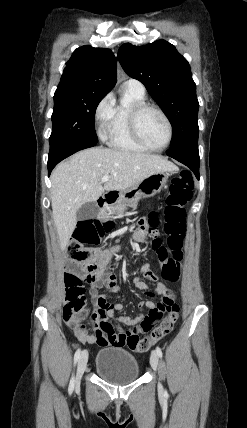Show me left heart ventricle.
<instances>
[{
  "label": "left heart ventricle",
  "instance_id": "1",
  "mask_svg": "<svg viewBox=\"0 0 247 428\" xmlns=\"http://www.w3.org/2000/svg\"><path fill=\"white\" fill-rule=\"evenodd\" d=\"M139 130L145 141L152 146H162L167 140L166 122L154 110H146L140 115Z\"/></svg>",
  "mask_w": 247,
  "mask_h": 428
}]
</instances>
